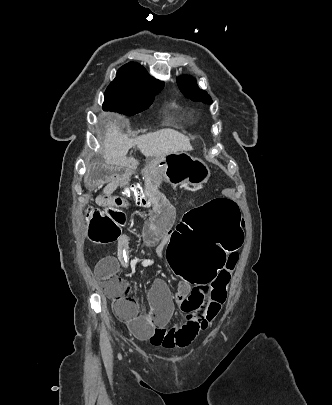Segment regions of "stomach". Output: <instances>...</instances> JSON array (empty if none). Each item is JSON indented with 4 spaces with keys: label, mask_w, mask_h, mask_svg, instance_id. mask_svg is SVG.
I'll list each match as a JSON object with an SVG mask.
<instances>
[{
    "label": "stomach",
    "mask_w": 332,
    "mask_h": 405,
    "mask_svg": "<svg viewBox=\"0 0 332 405\" xmlns=\"http://www.w3.org/2000/svg\"><path fill=\"white\" fill-rule=\"evenodd\" d=\"M157 159L161 161L160 169L165 179L173 185L199 187L210 178L208 166L186 152L170 153Z\"/></svg>",
    "instance_id": "obj_1"
}]
</instances>
